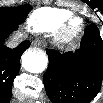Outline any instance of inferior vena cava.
I'll list each match as a JSON object with an SVG mask.
<instances>
[{
	"label": "inferior vena cava",
	"mask_w": 103,
	"mask_h": 103,
	"mask_svg": "<svg viewBox=\"0 0 103 103\" xmlns=\"http://www.w3.org/2000/svg\"><path fill=\"white\" fill-rule=\"evenodd\" d=\"M21 39H22V36L21 37H15L12 41H10L7 44V46L10 47V48H14L19 44Z\"/></svg>",
	"instance_id": "obj_1"
}]
</instances>
